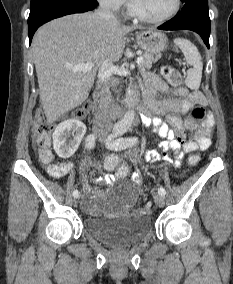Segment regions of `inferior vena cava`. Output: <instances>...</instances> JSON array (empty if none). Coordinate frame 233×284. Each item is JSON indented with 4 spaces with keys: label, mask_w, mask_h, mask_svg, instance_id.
I'll return each instance as SVG.
<instances>
[{
    "label": "inferior vena cava",
    "mask_w": 233,
    "mask_h": 284,
    "mask_svg": "<svg viewBox=\"0 0 233 284\" xmlns=\"http://www.w3.org/2000/svg\"><path fill=\"white\" fill-rule=\"evenodd\" d=\"M96 14L111 22L118 23L114 13L107 2L101 3L97 9ZM113 73L112 63L108 60L104 61L99 68L98 77L102 81L104 87L102 91L101 102L95 113L93 120L94 129L98 132L106 133L112 127V120L110 114L111 93L108 88V81Z\"/></svg>",
    "instance_id": "602c4592"
}]
</instances>
